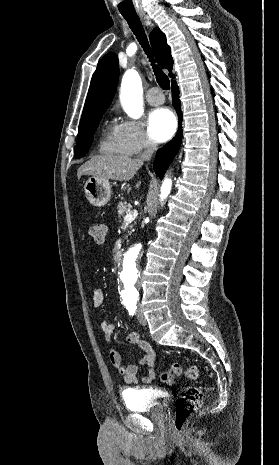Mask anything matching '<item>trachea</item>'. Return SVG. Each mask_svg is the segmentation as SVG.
Returning a JSON list of instances; mask_svg holds the SVG:
<instances>
[{
	"mask_svg": "<svg viewBox=\"0 0 279 465\" xmlns=\"http://www.w3.org/2000/svg\"><path fill=\"white\" fill-rule=\"evenodd\" d=\"M123 17L126 19V21L129 24V27L133 31V33L136 35V38L138 39L139 43L143 47L145 53L148 55V58L152 62L154 74L156 76V80L159 84V86L164 89L168 90L170 87V81L168 76L160 69L157 65H154V59L152 58L151 55V49L148 44V40L143 28V25L137 15H126L123 14Z\"/></svg>",
	"mask_w": 279,
	"mask_h": 465,
	"instance_id": "trachea-1",
	"label": "trachea"
}]
</instances>
